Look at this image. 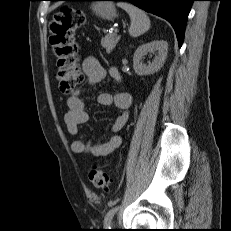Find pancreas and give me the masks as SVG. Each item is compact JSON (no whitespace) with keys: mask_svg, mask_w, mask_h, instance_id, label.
<instances>
[{"mask_svg":"<svg viewBox=\"0 0 231 231\" xmlns=\"http://www.w3.org/2000/svg\"><path fill=\"white\" fill-rule=\"evenodd\" d=\"M119 39L120 37L116 34H107L104 38H102L101 45L106 49L107 53H110L115 48Z\"/></svg>","mask_w":231,"mask_h":231,"instance_id":"1","label":"pancreas"}]
</instances>
